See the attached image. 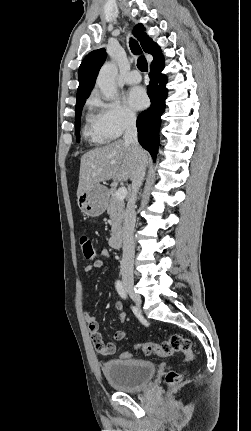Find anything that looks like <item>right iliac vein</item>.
<instances>
[{"label":"right iliac vein","instance_id":"63e3f726","mask_svg":"<svg viewBox=\"0 0 251 431\" xmlns=\"http://www.w3.org/2000/svg\"><path fill=\"white\" fill-rule=\"evenodd\" d=\"M124 286L126 291L130 294V296L133 298V300L140 305L141 304V297L134 291V287L133 284L125 281L124 282Z\"/></svg>","mask_w":251,"mask_h":431}]
</instances>
